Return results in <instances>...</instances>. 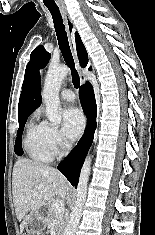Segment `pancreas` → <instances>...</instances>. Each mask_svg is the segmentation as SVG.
<instances>
[{
    "label": "pancreas",
    "instance_id": "1",
    "mask_svg": "<svg viewBox=\"0 0 155 235\" xmlns=\"http://www.w3.org/2000/svg\"><path fill=\"white\" fill-rule=\"evenodd\" d=\"M46 223L48 225L54 224L57 235H60L61 230L64 226V216L63 213L57 214L54 211L53 205L50 206L49 212L46 218Z\"/></svg>",
    "mask_w": 155,
    "mask_h": 235
}]
</instances>
